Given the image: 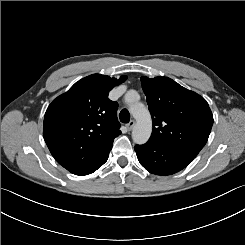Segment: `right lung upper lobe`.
I'll return each mask as SVG.
<instances>
[{
  "instance_id": "1",
  "label": "right lung upper lobe",
  "mask_w": 245,
  "mask_h": 245,
  "mask_svg": "<svg viewBox=\"0 0 245 245\" xmlns=\"http://www.w3.org/2000/svg\"><path fill=\"white\" fill-rule=\"evenodd\" d=\"M127 79L93 74L76 82L52 101L43 125L45 142L56 161L75 175H87L108 159L121 134L118 104L109 91Z\"/></svg>"
}]
</instances>
